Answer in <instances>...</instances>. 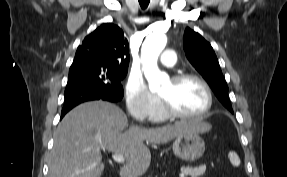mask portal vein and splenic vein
I'll return each mask as SVG.
<instances>
[{
  "mask_svg": "<svg viewBox=\"0 0 287 177\" xmlns=\"http://www.w3.org/2000/svg\"><path fill=\"white\" fill-rule=\"evenodd\" d=\"M112 158L115 162L117 163H124L125 162V158L122 155L119 154H112ZM180 177H185V174H180Z\"/></svg>",
  "mask_w": 287,
  "mask_h": 177,
  "instance_id": "obj_1",
  "label": "portal vein and splenic vein"
}]
</instances>
